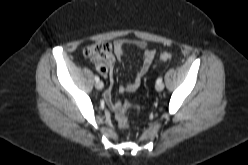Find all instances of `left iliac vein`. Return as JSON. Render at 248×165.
<instances>
[{"mask_svg":"<svg viewBox=\"0 0 248 165\" xmlns=\"http://www.w3.org/2000/svg\"><path fill=\"white\" fill-rule=\"evenodd\" d=\"M155 88L157 91H162L164 89V84L162 82L157 83Z\"/></svg>","mask_w":248,"mask_h":165,"instance_id":"4c4485c4","label":"left iliac vein"}]
</instances>
